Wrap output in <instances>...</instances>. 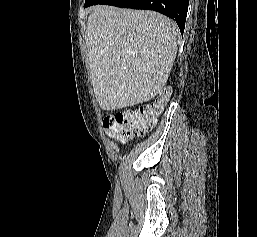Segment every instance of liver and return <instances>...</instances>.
<instances>
[{
    "label": "liver",
    "instance_id": "obj_1",
    "mask_svg": "<svg viewBox=\"0 0 257 237\" xmlns=\"http://www.w3.org/2000/svg\"><path fill=\"white\" fill-rule=\"evenodd\" d=\"M178 38L176 23L159 13L94 7L85 40L100 107L133 106L160 93L176 58Z\"/></svg>",
    "mask_w": 257,
    "mask_h": 237
}]
</instances>
